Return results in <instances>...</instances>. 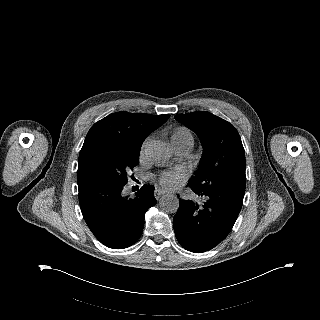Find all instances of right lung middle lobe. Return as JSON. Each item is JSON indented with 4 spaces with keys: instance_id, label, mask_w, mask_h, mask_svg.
Segmentation results:
<instances>
[{
    "instance_id": "1",
    "label": "right lung middle lobe",
    "mask_w": 320,
    "mask_h": 320,
    "mask_svg": "<svg viewBox=\"0 0 320 320\" xmlns=\"http://www.w3.org/2000/svg\"><path fill=\"white\" fill-rule=\"evenodd\" d=\"M140 148L97 149L86 159L84 172L87 176L126 184L127 172L139 164Z\"/></svg>"
}]
</instances>
